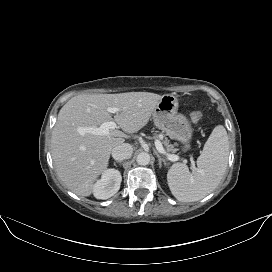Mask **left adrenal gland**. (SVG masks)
Instances as JSON below:
<instances>
[{
    "instance_id": "left-adrenal-gland-1",
    "label": "left adrenal gland",
    "mask_w": 272,
    "mask_h": 272,
    "mask_svg": "<svg viewBox=\"0 0 272 272\" xmlns=\"http://www.w3.org/2000/svg\"><path fill=\"white\" fill-rule=\"evenodd\" d=\"M155 154L158 158V164H159V168L162 167V162L164 163V165H166V159H164L157 151H155Z\"/></svg>"
}]
</instances>
